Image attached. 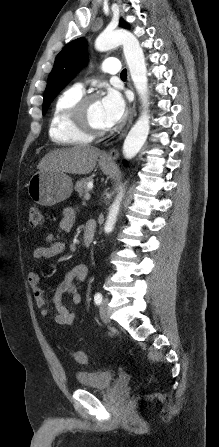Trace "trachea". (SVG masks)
<instances>
[{"label": "trachea", "mask_w": 219, "mask_h": 447, "mask_svg": "<svg viewBox=\"0 0 219 447\" xmlns=\"http://www.w3.org/2000/svg\"><path fill=\"white\" fill-rule=\"evenodd\" d=\"M120 77H121V78H126V77H127V71H126V69H124V70L121 72Z\"/></svg>", "instance_id": "trachea-1"}]
</instances>
